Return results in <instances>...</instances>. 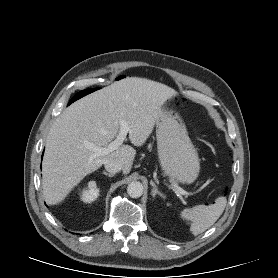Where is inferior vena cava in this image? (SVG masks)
Returning <instances> with one entry per match:
<instances>
[{
    "label": "inferior vena cava",
    "instance_id": "602c4592",
    "mask_svg": "<svg viewBox=\"0 0 278 278\" xmlns=\"http://www.w3.org/2000/svg\"><path fill=\"white\" fill-rule=\"evenodd\" d=\"M104 167L110 173H117L122 170V165L114 160H107L104 163Z\"/></svg>",
    "mask_w": 278,
    "mask_h": 278
}]
</instances>
